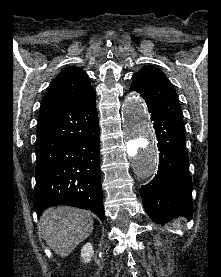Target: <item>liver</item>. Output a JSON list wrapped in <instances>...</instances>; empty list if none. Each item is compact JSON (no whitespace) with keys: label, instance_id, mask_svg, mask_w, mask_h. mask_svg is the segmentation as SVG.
Here are the masks:
<instances>
[{"label":"liver","instance_id":"6515ba94","mask_svg":"<svg viewBox=\"0 0 221 277\" xmlns=\"http://www.w3.org/2000/svg\"><path fill=\"white\" fill-rule=\"evenodd\" d=\"M89 211L68 206L48 208L42 214L38 229L47 245L60 257H67L93 231Z\"/></svg>","mask_w":221,"mask_h":277}]
</instances>
